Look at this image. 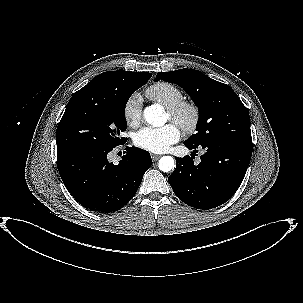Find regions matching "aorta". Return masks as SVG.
<instances>
[{
	"instance_id": "obj_1",
	"label": "aorta",
	"mask_w": 303,
	"mask_h": 303,
	"mask_svg": "<svg viewBox=\"0 0 303 303\" xmlns=\"http://www.w3.org/2000/svg\"><path fill=\"white\" fill-rule=\"evenodd\" d=\"M144 119L153 126L163 124V110L159 105H151L144 110ZM175 167L174 159L171 156H163L159 160V169L163 172H169Z\"/></svg>"
}]
</instances>
